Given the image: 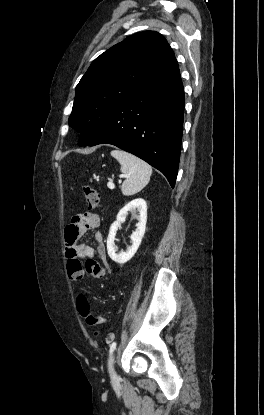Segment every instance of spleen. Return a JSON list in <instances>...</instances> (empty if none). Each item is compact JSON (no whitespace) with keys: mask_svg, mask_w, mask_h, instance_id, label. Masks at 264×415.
<instances>
[{"mask_svg":"<svg viewBox=\"0 0 264 415\" xmlns=\"http://www.w3.org/2000/svg\"><path fill=\"white\" fill-rule=\"evenodd\" d=\"M111 156L121 165V171L127 175L121 190L125 196L141 191L149 182L152 168L145 161L122 150L111 151Z\"/></svg>","mask_w":264,"mask_h":415,"instance_id":"3e777b00","label":"spleen"}]
</instances>
